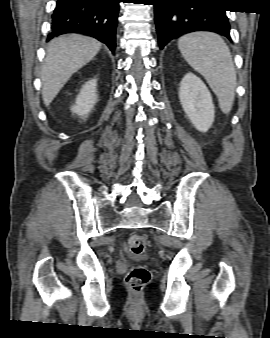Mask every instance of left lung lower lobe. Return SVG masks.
<instances>
[{"mask_svg":"<svg viewBox=\"0 0 270 338\" xmlns=\"http://www.w3.org/2000/svg\"><path fill=\"white\" fill-rule=\"evenodd\" d=\"M160 49L183 34L211 31L231 40L225 10L217 0H153Z\"/></svg>","mask_w":270,"mask_h":338,"instance_id":"left-lung-lower-lobe-1","label":"left lung lower lobe"}]
</instances>
